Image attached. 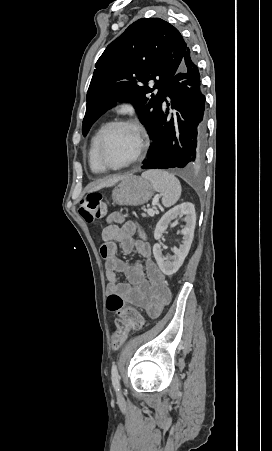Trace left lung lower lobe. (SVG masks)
Instances as JSON below:
<instances>
[{"label": "left lung lower lobe", "mask_w": 272, "mask_h": 451, "mask_svg": "<svg viewBox=\"0 0 272 451\" xmlns=\"http://www.w3.org/2000/svg\"><path fill=\"white\" fill-rule=\"evenodd\" d=\"M169 97L171 102L166 101ZM163 101L176 110L162 108L155 125L153 144L143 169H194L204 162L205 96L198 66L187 47L182 64L168 84Z\"/></svg>", "instance_id": "left-lung-lower-lobe-1"}]
</instances>
